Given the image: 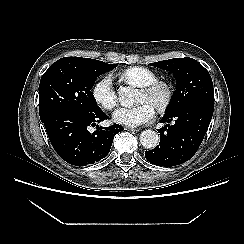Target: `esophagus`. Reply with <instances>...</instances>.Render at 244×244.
<instances>
[{
	"label": "esophagus",
	"mask_w": 244,
	"mask_h": 244,
	"mask_svg": "<svg viewBox=\"0 0 244 244\" xmlns=\"http://www.w3.org/2000/svg\"><path fill=\"white\" fill-rule=\"evenodd\" d=\"M125 129L131 132H138L140 130L138 128H130V127H126Z\"/></svg>",
	"instance_id": "esophagus-1"
}]
</instances>
